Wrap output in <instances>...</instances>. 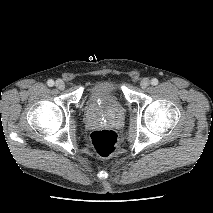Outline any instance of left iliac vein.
Listing matches in <instances>:
<instances>
[{
  "label": "left iliac vein",
  "mask_w": 213,
  "mask_h": 213,
  "mask_svg": "<svg viewBox=\"0 0 213 213\" xmlns=\"http://www.w3.org/2000/svg\"><path fill=\"white\" fill-rule=\"evenodd\" d=\"M150 80L148 78H143L140 82L141 88L145 89L149 86Z\"/></svg>",
  "instance_id": "1"
}]
</instances>
